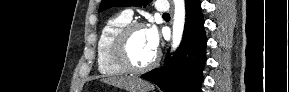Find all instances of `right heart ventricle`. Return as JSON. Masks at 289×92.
I'll return each instance as SVG.
<instances>
[{"instance_id":"1","label":"right heart ventricle","mask_w":289,"mask_h":92,"mask_svg":"<svg viewBox=\"0 0 289 92\" xmlns=\"http://www.w3.org/2000/svg\"><path fill=\"white\" fill-rule=\"evenodd\" d=\"M129 22L131 18L121 13L109 18L102 27L97 42V66L102 75L115 76L126 72L115 63L111 47L116 34Z\"/></svg>"}]
</instances>
